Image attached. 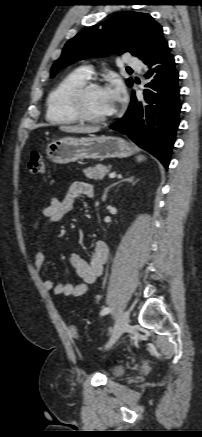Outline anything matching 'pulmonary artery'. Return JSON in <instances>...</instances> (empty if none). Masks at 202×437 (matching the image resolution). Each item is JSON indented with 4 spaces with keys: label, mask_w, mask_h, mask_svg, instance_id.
Instances as JSON below:
<instances>
[{
    "label": "pulmonary artery",
    "mask_w": 202,
    "mask_h": 437,
    "mask_svg": "<svg viewBox=\"0 0 202 437\" xmlns=\"http://www.w3.org/2000/svg\"><path fill=\"white\" fill-rule=\"evenodd\" d=\"M126 64H127V66H129L130 68L137 69V70H140V69H141V62H140L137 58L129 57V58L127 59V61H126ZM82 70L84 71V73H85L88 77L91 76V74H92V70H91L90 67H84V68H82Z\"/></svg>",
    "instance_id": "pulmonary-artery-1"
}]
</instances>
